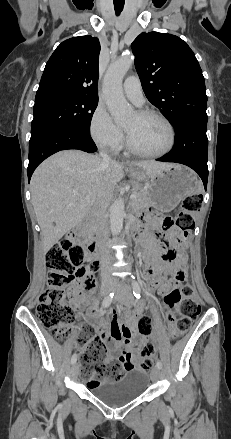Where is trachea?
<instances>
[{
	"label": "trachea",
	"mask_w": 231,
	"mask_h": 439,
	"mask_svg": "<svg viewBox=\"0 0 231 439\" xmlns=\"http://www.w3.org/2000/svg\"><path fill=\"white\" fill-rule=\"evenodd\" d=\"M124 7V2L123 3H119V2H114V10L116 15H120V13L122 12Z\"/></svg>",
	"instance_id": "trachea-1"
}]
</instances>
